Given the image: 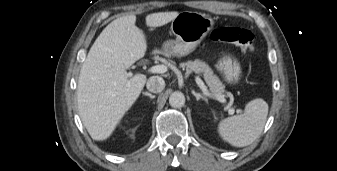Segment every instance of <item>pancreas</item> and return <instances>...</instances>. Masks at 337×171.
Returning <instances> with one entry per match:
<instances>
[{
    "label": "pancreas",
    "mask_w": 337,
    "mask_h": 171,
    "mask_svg": "<svg viewBox=\"0 0 337 171\" xmlns=\"http://www.w3.org/2000/svg\"><path fill=\"white\" fill-rule=\"evenodd\" d=\"M180 67L193 70L196 73H202L212 95H222L224 93V84L205 62L200 60L188 61L186 63H181Z\"/></svg>",
    "instance_id": "obj_1"
}]
</instances>
